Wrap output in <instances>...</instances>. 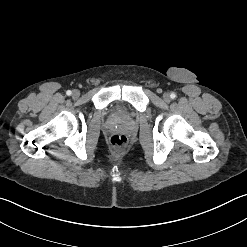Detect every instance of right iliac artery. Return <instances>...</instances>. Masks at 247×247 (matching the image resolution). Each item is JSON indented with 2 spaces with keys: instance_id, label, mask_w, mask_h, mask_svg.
Listing matches in <instances>:
<instances>
[{
  "instance_id": "obj_1",
  "label": "right iliac artery",
  "mask_w": 247,
  "mask_h": 247,
  "mask_svg": "<svg viewBox=\"0 0 247 247\" xmlns=\"http://www.w3.org/2000/svg\"><path fill=\"white\" fill-rule=\"evenodd\" d=\"M66 94H67L68 96H70V95L72 94V92H71L70 90H68V91L66 92Z\"/></svg>"
}]
</instances>
